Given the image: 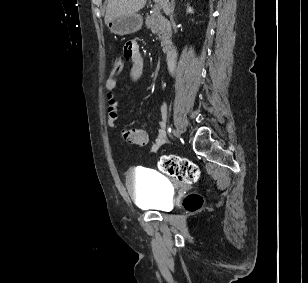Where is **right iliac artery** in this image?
Here are the masks:
<instances>
[{"mask_svg":"<svg viewBox=\"0 0 308 283\" xmlns=\"http://www.w3.org/2000/svg\"><path fill=\"white\" fill-rule=\"evenodd\" d=\"M169 132H171V128H169Z\"/></svg>","mask_w":308,"mask_h":283,"instance_id":"82829eb1","label":"right iliac artery"}]
</instances>
